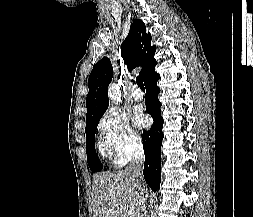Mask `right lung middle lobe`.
I'll return each instance as SVG.
<instances>
[{
  "instance_id": "obj_1",
  "label": "right lung middle lobe",
  "mask_w": 253,
  "mask_h": 217,
  "mask_svg": "<svg viewBox=\"0 0 253 217\" xmlns=\"http://www.w3.org/2000/svg\"><path fill=\"white\" fill-rule=\"evenodd\" d=\"M100 118L101 116L92 119L90 121H87L85 128L87 161L89 168L91 169L92 172H98L102 170L101 161L95 152V142H94L95 130L97 128Z\"/></svg>"
}]
</instances>
